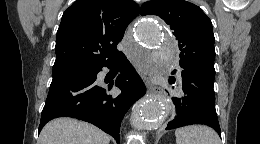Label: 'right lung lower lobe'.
I'll return each mask as SVG.
<instances>
[{
  "label": "right lung lower lobe",
  "mask_w": 260,
  "mask_h": 144,
  "mask_svg": "<svg viewBox=\"0 0 260 144\" xmlns=\"http://www.w3.org/2000/svg\"><path fill=\"white\" fill-rule=\"evenodd\" d=\"M116 62L120 64L121 74L115 82L109 83L108 88L115 85L122 92L118 96H112L108 93L107 87L99 84L96 79L103 66L110 68ZM145 91V86L134 67L126 56L120 53L111 62L86 67L83 74L52 82L41 114L39 131L48 121L66 116L94 124L119 143L122 119Z\"/></svg>",
  "instance_id": "right-lung-lower-lobe-1"
}]
</instances>
